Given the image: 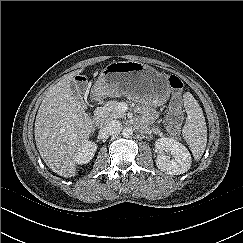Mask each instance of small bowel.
I'll list each match as a JSON object with an SVG mask.
<instances>
[{"label": "small bowel", "instance_id": "c3829d8e", "mask_svg": "<svg viewBox=\"0 0 243 243\" xmlns=\"http://www.w3.org/2000/svg\"><path fill=\"white\" fill-rule=\"evenodd\" d=\"M146 115H147V116H150V115H151V111H150V110H147V111H146ZM142 128H145V124H144V122L142 123Z\"/></svg>", "mask_w": 243, "mask_h": 243}]
</instances>
